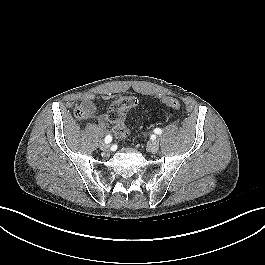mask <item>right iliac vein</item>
<instances>
[{
	"label": "right iliac vein",
	"mask_w": 265,
	"mask_h": 265,
	"mask_svg": "<svg viewBox=\"0 0 265 265\" xmlns=\"http://www.w3.org/2000/svg\"><path fill=\"white\" fill-rule=\"evenodd\" d=\"M99 147L103 151H109L110 145L107 143H100Z\"/></svg>",
	"instance_id": "63e3f726"
}]
</instances>
